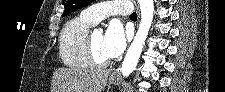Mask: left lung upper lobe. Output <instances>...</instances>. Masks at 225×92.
Wrapping results in <instances>:
<instances>
[{
  "label": "left lung upper lobe",
  "instance_id": "left-lung-upper-lobe-1",
  "mask_svg": "<svg viewBox=\"0 0 225 92\" xmlns=\"http://www.w3.org/2000/svg\"><path fill=\"white\" fill-rule=\"evenodd\" d=\"M94 0H69L68 4L64 10L63 16H66L70 14L71 12H74L84 6H87Z\"/></svg>",
  "mask_w": 225,
  "mask_h": 92
}]
</instances>
